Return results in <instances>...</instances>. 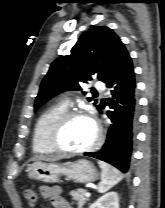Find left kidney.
Returning <instances> with one entry per match:
<instances>
[{"label": "left kidney", "mask_w": 165, "mask_h": 208, "mask_svg": "<svg viewBox=\"0 0 165 208\" xmlns=\"http://www.w3.org/2000/svg\"><path fill=\"white\" fill-rule=\"evenodd\" d=\"M89 208H119L118 194L114 191L106 193Z\"/></svg>", "instance_id": "1"}]
</instances>
